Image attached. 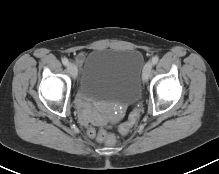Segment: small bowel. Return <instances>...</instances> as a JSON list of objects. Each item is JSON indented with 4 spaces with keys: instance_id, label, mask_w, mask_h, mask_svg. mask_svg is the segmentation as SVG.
Wrapping results in <instances>:
<instances>
[{
    "instance_id": "c3829d8e",
    "label": "small bowel",
    "mask_w": 219,
    "mask_h": 174,
    "mask_svg": "<svg viewBox=\"0 0 219 174\" xmlns=\"http://www.w3.org/2000/svg\"><path fill=\"white\" fill-rule=\"evenodd\" d=\"M76 60L78 63H82L84 60V54L83 53L78 54ZM81 111L84 120L89 121L91 118H94V114L91 111L89 105L84 102L81 103Z\"/></svg>"
}]
</instances>
